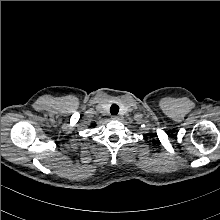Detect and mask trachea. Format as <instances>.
<instances>
[{
    "instance_id": "1",
    "label": "trachea",
    "mask_w": 220,
    "mask_h": 220,
    "mask_svg": "<svg viewBox=\"0 0 220 220\" xmlns=\"http://www.w3.org/2000/svg\"><path fill=\"white\" fill-rule=\"evenodd\" d=\"M119 112V106L116 105V104H113L111 107H110V113L112 115H117Z\"/></svg>"
}]
</instances>
